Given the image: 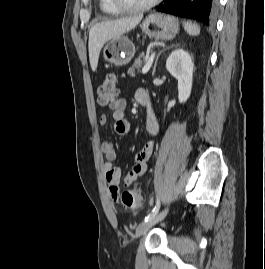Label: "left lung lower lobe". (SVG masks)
Returning a JSON list of instances; mask_svg holds the SVG:
<instances>
[{
    "label": "left lung lower lobe",
    "instance_id": "0a47b994",
    "mask_svg": "<svg viewBox=\"0 0 265 269\" xmlns=\"http://www.w3.org/2000/svg\"><path fill=\"white\" fill-rule=\"evenodd\" d=\"M219 0H167L158 8V12L172 14L182 18L197 20L211 25L218 12Z\"/></svg>",
    "mask_w": 265,
    "mask_h": 269
}]
</instances>
